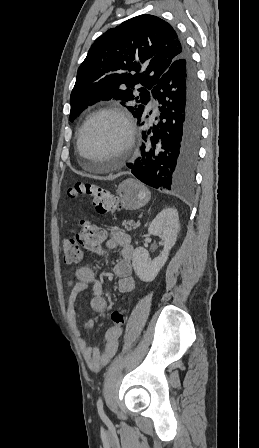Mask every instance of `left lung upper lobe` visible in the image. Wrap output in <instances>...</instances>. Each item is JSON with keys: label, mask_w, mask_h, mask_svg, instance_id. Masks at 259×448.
Listing matches in <instances>:
<instances>
[{"label": "left lung upper lobe", "mask_w": 259, "mask_h": 448, "mask_svg": "<svg viewBox=\"0 0 259 448\" xmlns=\"http://www.w3.org/2000/svg\"><path fill=\"white\" fill-rule=\"evenodd\" d=\"M183 53L182 39L165 20L139 15L101 35L78 68L71 92L70 121L99 100L135 101L134 117L148 110L150 92ZM135 86L139 96L133 95Z\"/></svg>", "instance_id": "obj_1"}]
</instances>
